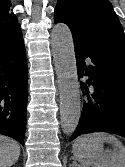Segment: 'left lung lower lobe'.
<instances>
[{"mask_svg":"<svg viewBox=\"0 0 125 167\" xmlns=\"http://www.w3.org/2000/svg\"><path fill=\"white\" fill-rule=\"evenodd\" d=\"M74 47L78 78L88 76L80 83L88 97L69 141L92 132L125 137V49L111 41L89 45L74 41Z\"/></svg>","mask_w":125,"mask_h":167,"instance_id":"left-lung-lower-lobe-1","label":"left lung lower lobe"}]
</instances>
